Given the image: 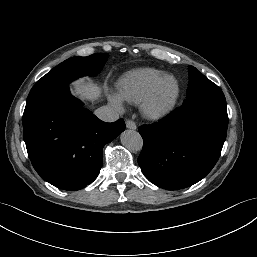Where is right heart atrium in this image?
<instances>
[{
    "mask_svg": "<svg viewBox=\"0 0 257 257\" xmlns=\"http://www.w3.org/2000/svg\"><path fill=\"white\" fill-rule=\"evenodd\" d=\"M109 101L115 108L120 110L123 109V101L118 95L116 94L110 95Z\"/></svg>",
    "mask_w": 257,
    "mask_h": 257,
    "instance_id": "1",
    "label": "right heart atrium"
}]
</instances>
